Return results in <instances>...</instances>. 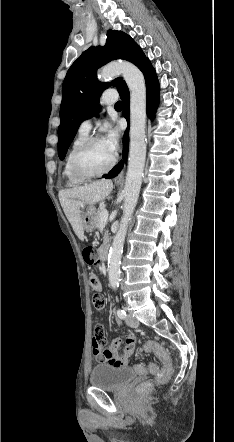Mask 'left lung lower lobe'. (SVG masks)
Segmentation results:
<instances>
[{
	"label": "left lung lower lobe",
	"mask_w": 234,
	"mask_h": 442,
	"mask_svg": "<svg viewBox=\"0 0 234 442\" xmlns=\"http://www.w3.org/2000/svg\"><path fill=\"white\" fill-rule=\"evenodd\" d=\"M140 70L143 72L145 81H146V89H147V114L152 119L156 112L159 103V84L157 80V76L154 68L152 67L148 58L145 60ZM120 93V97L123 100L124 108L122 115L127 119L129 123V102H130V94L127 85H123L121 89L118 91ZM129 129L124 133L123 137V158L124 161L127 159L128 152V143H129ZM124 161H120L118 165H116L108 175L103 176L104 178H113L116 177L124 164Z\"/></svg>",
	"instance_id": "0a47b994"
}]
</instances>
